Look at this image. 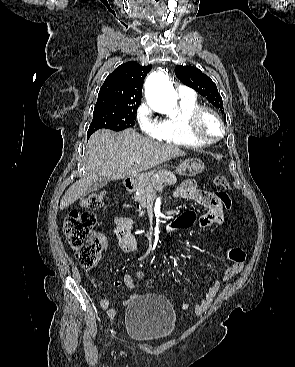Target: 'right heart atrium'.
<instances>
[{
	"label": "right heart atrium",
	"mask_w": 295,
	"mask_h": 367,
	"mask_svg": "<svg viewBox=\"0 0 295 367\" xmlns=\"http://www.w3.org/2000/svg\"><path fill=\"white\" fill-rule=\"evenodd\" d=\"M136 119L141 130L152 138H159L162 132V122L154 117L151 107L142 103L137 110Z\"/></svg>",
	"instance_id": "right-heart-atrium-1"
}]
</instances>
